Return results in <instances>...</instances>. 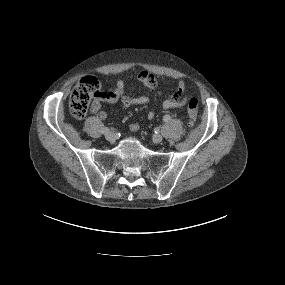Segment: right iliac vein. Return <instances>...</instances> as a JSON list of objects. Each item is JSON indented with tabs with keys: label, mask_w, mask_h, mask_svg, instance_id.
I'll list each match as a JSON object with an SVG mask.
<instances>
[{
	"label": "right iliac vein",
	"mask_w": 285,
	"mask_h": 285,
	"mask_svg": "<svg viewBox=\"0 0 285 285\" xmlns=\"http://www.w3.org/2000/svg\"><path fill=\"white\" fill-rule=\"evenodd\" d=\"M106 140L109 142H114L116 140V135L114 132H108L105 136Z\"/></svg>",
	"instance_id": "63e3f726"
}]
</instances>
